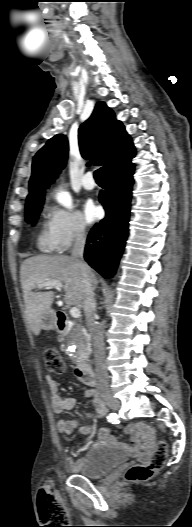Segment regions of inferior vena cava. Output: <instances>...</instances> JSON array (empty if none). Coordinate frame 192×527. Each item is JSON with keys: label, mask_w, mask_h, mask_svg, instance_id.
Here are the masks:
<instances>
[{"label": "inferior vena cava", "mask_w": 192, "mask_h": 527, "mask_svg": "<svg viewBox=\"0 0 192 527\" xmlns=\"http://www.w3.org/2000/svg\"><path fill=\"white\" fill-rule=\"evenodd\" d=\"M85 239L84 227L79 226L75 230L71 257L80 262L81 274L85 283L83 309L86 317V325L93 341L97 386L103 388L108 385V375L104 364V340L101 329L95 319L96 301L94 298V287L92 285L90 268L83 262Z\"/></svg>", "instance_id": "1"}]
</instances>
